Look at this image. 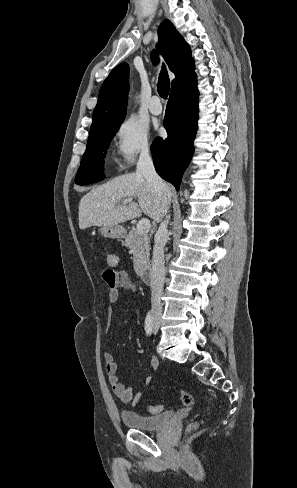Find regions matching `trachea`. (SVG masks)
Listing matches in <instances>:
<instances>
[{"label":"trachea","mask_w":297,"mask_h":488,"mask_svg":"<svg viewBox=\"0 0 297 488\" xmlns=\"http://www.w3.org/2000/svg\"><path fill=\"white\" fill-rule=\"evenodd\" d=\"M169 90L170 79L165 66H163L157 83V91L162 98L166 99L169 94Z\"/></svg>","instance_id":"trachea-1"}]
</instances>
